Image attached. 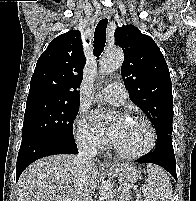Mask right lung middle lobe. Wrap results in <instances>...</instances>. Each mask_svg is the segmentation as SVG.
<instances>
[{
  "label": "right lung middle lobe",
  "mask_w": 196,
  "mask_h": 201,
  "mask_svg": "<svg viewBox=\"0 0 196 201\" xmlns=\"http://www.w3.org/2000/svg\"><path fill=\"white\" fill-rule=\"evenodd\" d=\"M80 102H61L48 99L27 100L22 139L34 135H52L72 140L73 120Z\"/></svg>",
  "instance_id": "right-lung-middle-lobe-1"
}]
</instances>
